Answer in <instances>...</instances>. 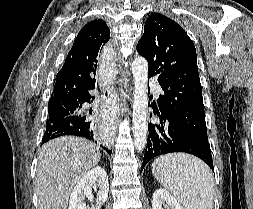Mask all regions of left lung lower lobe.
Listing matches in <instances>:
<instances>
[{"mask_svg":"<svg viewBox=\"0 0 253 209\" xmlns=\"http://www.w3.org/2000/svg\"><path fill=\"white\" fill-rule=\"evenodd\" d=\"M154 113L157 114L159 120L157 123L150 122L148 124L149 135L142 170L156 156L172 152H185L202 159L214 172L208 140L184 129L176 121L162 115L158 110H154Z\"/></svg>","mask_w":253,"mask_h":209,"instance_id":"left-lung-lower-lobe-1","label":"left lung lower lobe"}]
</instances>
